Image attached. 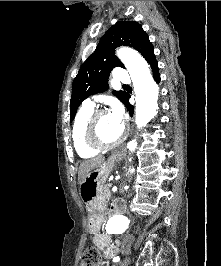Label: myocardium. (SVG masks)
Segmentation results:
<instances>
[{"mask_svg": "<svg viewBox=\"0 0 221 266\" xmlns=\"http://www.w3.org/2000/svg\"><path fill=\"white\" fill-rule=\"evenodd\" d=\"M107 112L103 109H99L96 111H93L91 116L89 117L86 127H85V141L86 143L98 150H106V149H111L113 147L118 146L121 144L125 138L127 137V129L123 127V130L120 134V136L112 142H105L103 141L99 135H98V120L100 116L106 114Z\"/></svg>", "mask_w": 221, "mask_h": 266, "instance_id": "f54148a6", "label": "myocardium"}]
</instances>
